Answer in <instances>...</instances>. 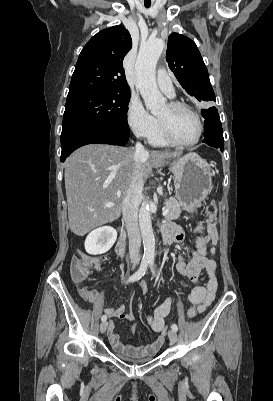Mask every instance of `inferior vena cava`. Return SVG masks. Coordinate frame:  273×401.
<instances>
[{"label": "inferior vena cava", "instance_id": "1", "mask_svg": "<svg viewBox=\"0 0 273 401\" xmlns=\"http://www.w3.org/2000/svg\"><path fill=\"white\" fill-rule=\"evenodd\" d=\"M148 154L141 142H136L133 160V176L123 203L122 213L129 239V255L131 261H138L141 247V235L138 225V207L142 201L143 176L141 174V158Z\"/></svg>", "mask_w": 273, "mask_h": 401}]
</instances>
